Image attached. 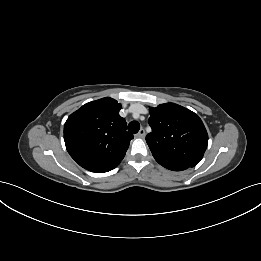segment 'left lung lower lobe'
I'll use <instances>...</instances> for the list:
<instances>
[{
    "mask_svg": "<svg viewBox=\"0 0 261 261\" xmlns=\"http://www.w3.org/2000/svg\"><path fill=\"white\" fill-rule=\"evenodd\" d=\"M154 158L160 165H162L163 167H165L169 170L182 171V170L189 168V166H186V165H183V164H178V163H175V162H171V161H168L166 159H162V158H159V157H154Z\"/></svg>",
    "mask_w": 261,
    "mask_h": 261,
    "instance_id": "0a47b994",
    "label": "left lung lower lobe"
}]
</instances>
